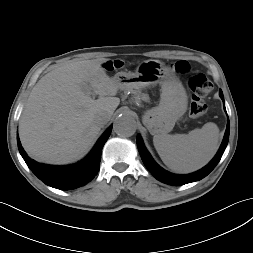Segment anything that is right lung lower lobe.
<instances>
[{
    "label": "right lung lower lobe",
    "mask_w": 253,
    "mask_h": 253,
    "mask_svg": "<svg viewBox=\"0 0 253 253\" xmlns=\"http://www.w3.org/2000/svg\"><path fill=\"white\" fill-rule=\"evenodd\" d=\"M112 131V125L100 137L89 155L77 164L52 166L40 164L27 156L17 137L18 149L31 171L46 185L60 190L81 187L96 176L100 167L101 151Z\"/></svg>",
    "instance_id": "right-lung-lower-lobe-1"
}]
</instances>
